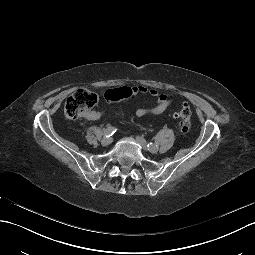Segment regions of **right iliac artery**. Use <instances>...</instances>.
<instances>
[{"label": "right iliac artery", "instance_id": "obj_1", "mask_svg": "<svg viewBox=\"0 0 255 255\" xmlns=\"http://www.w3.org/2000/svg\"><path fill=\"white\" fill-rule=\"evenodd\" d=\"M116 132V128L112 127V126H108L105 130H104V137L105 138H109L110 136H112L114 133Z\"/></svg>", "mask_w": 255, "mask_h": 255}]
</instances>
